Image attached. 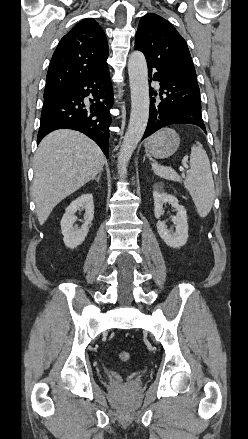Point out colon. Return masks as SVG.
Listing matches in <instances>:
<instances>
[{
    "label": "colon",
    "instance_id": "5ec220e1",
    "mask_svg": "<svg viewBox=\"0 0 248 439\" xmlns=\"http://www.w3.org/2000/svg\"><path fill=\"white\" fill-rule=\"evenodd\" d=\"M118 356H119V359H120L122 362H128V361L130 360V358H131L130 353L127 352V351H122V352H120Z\"/></svg>",
    "mask_w": 248,
    "mask_h": 439
}]
</instances>
